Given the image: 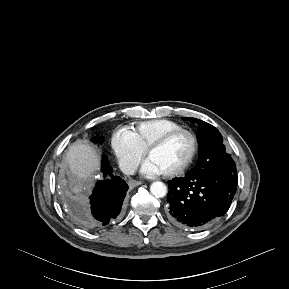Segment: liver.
I'll use <instances>...</instances> for the list:
<instances>
[{"label":"liver","mask_w":289,"mask_h":289,"mask_svg":"<svg viewBox=\"0 0 289 289\" xmlns=\"http://www.w3.org/2000/svg\"><path fill=\"white\" fill-rule=\"evenodd\" d=\"M66 158L71 173L77 177L74 191L78 192L81 190L80 184L90 180L99 169V156L91 145L80 142L70 146Z\"/></svg>","instance_id":"6515ba94"}]
</instances>
